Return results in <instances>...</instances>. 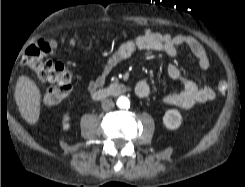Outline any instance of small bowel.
<instances>
[{
    "label": "small bowel",
    "instance_id": "c3829d8e",
    "mask_svg": "<svg viewBox=\"0 0 245 187\" xmlns=\"http://www.w3.org/2000/svg\"><path fill=\"white\" fill-rule=\"evenodd\" d=\"M181 46H186L197 58L201 70H209V57L196 38L190 35H172L147 30L143 34L132 37L120 44L118 49L105 60L100 73L90 80L87 87L88 92L93 93L101 88L111 71L138 50L155 51L175 57L178 55ZM167 74L170 78L179 81L183 89L177 93L163 96L160 100L161 104L186 110L214 99L215 93L212 88L199 86L192 78L186 76L178 66L168 65ZM151 87L152 84L148 79L139 80L136 83V93L139 97H146L149 95Z\"/></svg>",
    "mask_w": 245,
    "mask_h": 187
}]
</instances>
